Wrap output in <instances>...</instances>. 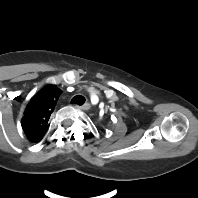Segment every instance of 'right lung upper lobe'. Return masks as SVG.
<instances>
[{
	"mask_svg": "<svg viewBox=\"0 0 198 198\" xmlns=\"http://www.w3.org/2000/svg\"><path fill=\"white\" fill-rule=\"evenodd\" d=\"M61 92L56 85H46L31 98L21 121L22 128L30 141L38 142L45 135L49 127L48 120Z\"/></svg>",
	"mask_w": 198,
	"mask_h": 198,
	"instance_id": "obj_1",
	"label": "right lung upper lobe"
}]
</instances>
